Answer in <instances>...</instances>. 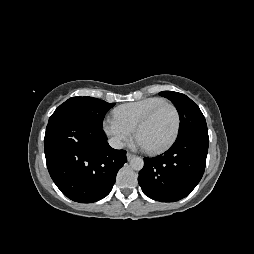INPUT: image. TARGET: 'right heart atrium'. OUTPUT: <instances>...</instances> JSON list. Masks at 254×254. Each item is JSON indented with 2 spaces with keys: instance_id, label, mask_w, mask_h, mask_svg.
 Here are the masks:
<instances>
[{
  "instance_id": "d8ad5b80",
  "label": "right heart atrium",
  "mask_w": 254,
  "mask_h": 254,
  "mask_svg": "<svg viewBox=\"0 0 254 254\" xmlns=\"http://www.w3.org/2000/svg\"><path fill=\"white\" fill-rule=\"evenodd\" d=\"M102 128L110 143L116 148H122L134 136V129L114 115L105 117Z\"/></svg>"
}]
</instances>
